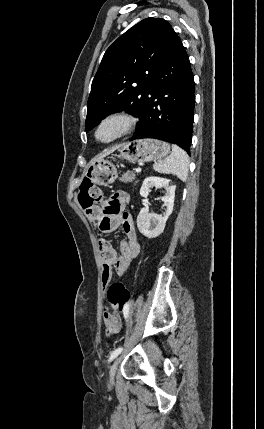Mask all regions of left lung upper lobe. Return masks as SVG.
Instances as JSON below:
<instances>
[{
    "instance_id": "left-lung-upper-lobe-1",
    "label": "left lung upper lobe",
    "mask_w": 264,
    "mask_h": 429,
    "mask_svg": "<svg viewBox=\"0 0 264 429\" xmlns=\"http://www.w3.org/2000/svg\"><path fill=\"white\" fill-rule=\"evenodd\" d=\"M172 30L164 19L146 18L107 49L92 82L86 131L122 110L140 118Z\"/></svg>"
}]
</instances>
